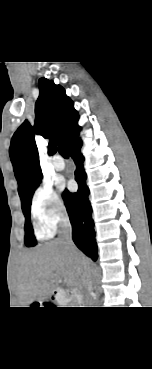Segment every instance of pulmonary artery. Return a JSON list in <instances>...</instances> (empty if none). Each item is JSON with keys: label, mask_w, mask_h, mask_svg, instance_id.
I'll list each match as a JSON object with an SVG mask.
<instances>
[{"label": "pulmonary artery", "mask_w": 152, "mask_h": 369, "mask_svg": "<svg viewBox=\"0 0 152 369\" xmlns=\"http://www.w3.org/2000/svg\"><path fill=\"white\" fill-rule=\"evenodd\" d=\"M53 167L56 171H62L65 169V162L60 156H55L53 158Z\"/></svg>", "instance_id": "obj_1"}]
</instances>
